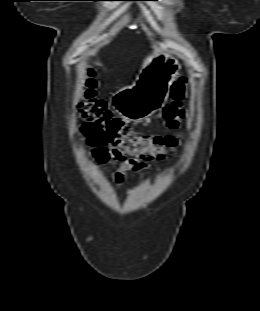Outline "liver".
Listing matches in <instances>:
<instances>
[{"instance_id":"6515ba94","label":"liver","mask_w":260,"mask_h":311,"mask_svg":"<svg viewBox=\"0 0 260 311\" xmlns=\"http://www.w3.org/2000/svg\"><path fill=\"white\" fill-rule=\"evenodd\" d=\"M159 52H160L159 49H156V50L153 52L152 55H150L149 57H147V58L145 59V61H144V63H143V66H145L149 61H151L152 58H153V56L156 55V54L159 53ZM92 53H93V51L90 52V54H92Z\"/></svg>"}]
</instances>
